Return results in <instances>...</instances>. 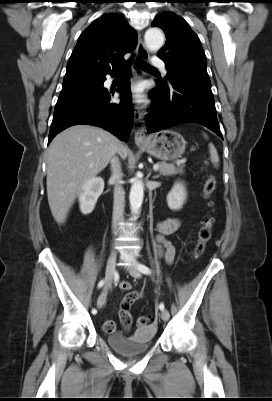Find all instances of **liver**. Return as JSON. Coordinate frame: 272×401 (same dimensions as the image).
Returning a JSON list of instances; mask_svg holds the SVG:
<instances>
[{"label": "liver", "mask_w": 272, "mask_h": 401, "mask_svg": "<svg viewBox=\"0 0 272 401\" xmlns=\"http://www.w3.org/2000/svg\"><path fill=\"white\" fill-rule=\"evenodd\" d=\"M116 152L125 159L128 148L110 132L90 125L69 127L53 139L47 156V196L57 223L65 222L82 185Z\"/></svg>", "instance_id": "6515ba94"}]
</instances>
